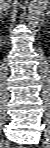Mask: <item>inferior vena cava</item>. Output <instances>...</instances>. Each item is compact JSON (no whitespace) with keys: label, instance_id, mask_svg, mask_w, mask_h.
I'll return each mask as SVG.
<instances>
[{"label":"inferior vena cava","instance_id":"602c4592","mask_svg":"<svg viewBox=\"0 0 50 148\" xmlns=\"http://www.w3.org/2000/svg\"><path fill=\"white\" fill-rule=\"evenodd\" d=\"M9 2H10V0H7V1L4 0L2 3L1 9L5 8Z\"/></svg>","mask_w":50,"mask_h":148}]
</instances>
